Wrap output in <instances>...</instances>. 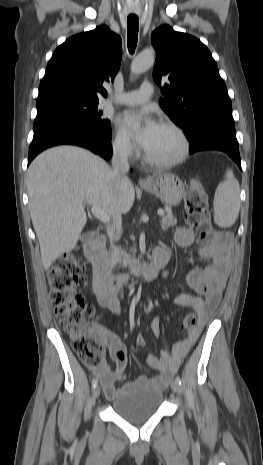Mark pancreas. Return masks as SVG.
I'll return each instance as SVG.
<instances>
[{
  "instance_id": "cf45deb5",
  "label": "pancreas",
  "mask_w": 263,
  "mask_h": 465,
  "mask_svg": "<svg viewBox=\"0 0 263 465\" xmlns=\"http://www.w3.org/2000/svg\"><path fill=\"white\" fill-rule=\"evenodd\" d=\"M177 224L176 218L173 214H167L163 216L160 222L161 228L167 230L168 228L174 227ZM110 261L113 265L117 263H123L124 267L129 266L131 270H134L137 266V260L133 254H127L125 250L111 245L109 250Z\"/></svg>"
}]
</instances>
